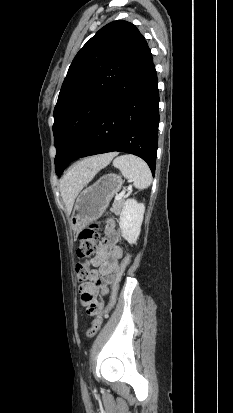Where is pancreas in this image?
Masks as SVG:
<instances>
[{
    "label": "pancreas",
    "instance_id": "cf45deb5",
    "mask_svg": "<svg viewBox=\"0 0 233 413\" xmlns=\"http://www.w3.org/2000/svg\"><path fill=\"white\" fill-rule=\"evenodd\" d=\"M124 199L125 198H121L120 200H116L114 201L112 208H111V212H113L115 215H118L121 211V208L124 204Z\"/></svg>",
    "mask_w": 233,
    "mask_h": 413
}]
</instances>
